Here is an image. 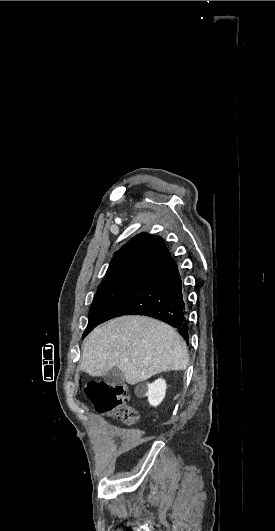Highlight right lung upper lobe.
<instances>
[{
    "mask_svg": "<svg viewBox=\"0 0 275 531\" xmlns=\"http://www.w3.org/2000/svg\"><path fill=\"white\" fill-rule=\"evenodd\" d=\"M166 250L161 237L140 233L114 254L105 276L128 269H145Z\"/></svg>",
    "mask_w": 275,
    "mask_h": 531,
    "instance_id": "1",
    "label": "right lung upper lobe"
}]
</instances>
